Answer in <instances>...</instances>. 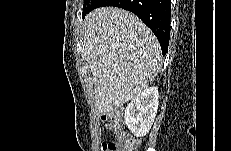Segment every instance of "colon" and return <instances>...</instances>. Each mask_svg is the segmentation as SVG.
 <instances>
[{"label":"colon","mask_w":231,"mask_h":151,"mask_svg":"<svg viewBox=\"0 0 231 151\" xmlns=\"http://www.w3.org/2000/svg\"><path fill=\"white\" fill-rule=\"evenodd\" d=\"M107 129L115 134V140L102 145L103 151H136L138 141L122 128V113L112 110L102 116Z\"/></svg>","instance_id":"5ec220e1"}]
</instances>
